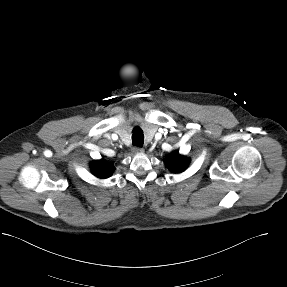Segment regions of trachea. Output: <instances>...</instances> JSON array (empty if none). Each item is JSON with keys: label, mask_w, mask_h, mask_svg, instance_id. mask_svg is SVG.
I'll use <instances>...</instances> for the list:
<instances>
[{"label": "trachea", "mask_w": 287, "mask_h": 287, "mask_svg": "<svg viewBox=\"0 0 287 287\" xmlns=\"http://www.w3.org/2000/svg\"><path fill=\"white\" fill-rule=\"evenodd\" d=\"M132 143L137 147H142L144 143V135L140 128H135L132 134Z\"/></svg>", "instance_id": "obj_1"}]
</instances>
